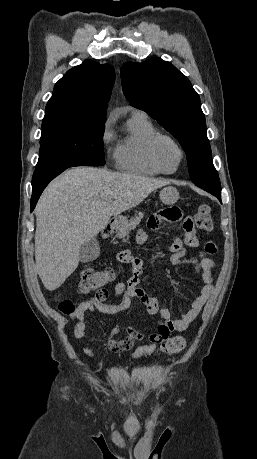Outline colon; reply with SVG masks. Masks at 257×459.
Listing matches in <instances>:
<instances>
[{
    "label": "colon",
    "instance_id": "1",
    "mask_svg": "<svg viewBox=\"0 0 257 459\" xmlns=\"http://www.w3.org/2000/svg\"><path fill=\"white\" fill-rule=\"evenodd\" d=\"M195 229L203 232H210L213 229V220L211 209L207 205L200 206L194 214ZM196 234V233H195ZM115 272L113 270H95L92 266H84L79 273V287L83 292L94 291L99 300H105L108 297V291L104 288L110 280L113 279ZM58 306L62 313H72L76 306L68 299H59ZM186 346V339L183 336H174L166 340L160 347L164 354H174L181 352Z\"/></svg>",
    "mask_w": 257,
    "mask_h": 459
}]
</instances>
